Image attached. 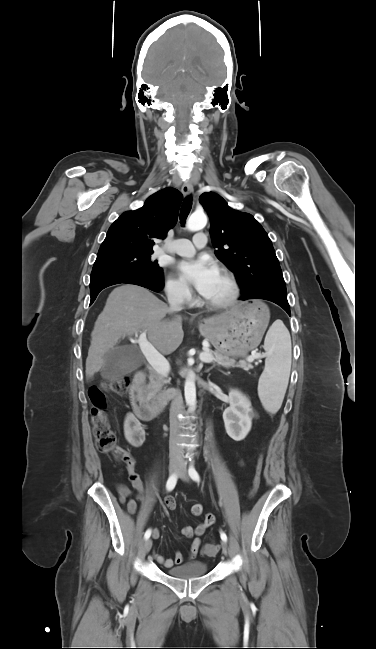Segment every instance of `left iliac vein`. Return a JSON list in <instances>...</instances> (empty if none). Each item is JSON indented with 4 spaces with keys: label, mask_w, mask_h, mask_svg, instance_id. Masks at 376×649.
<instances>
[{
    "label": "left iliac vein",
    "mask_w": 376,
    "mask_h": 649,
    "mask_svg": "<svg viewBox=\"0 0 376 649\" xmlns=\"http://www.w3.org/2000/svg\"><path fill=\"white\" fill-rule=\"evenodd\" d=\"M178 475L183 481H188L189 480L188 475H187L186 465H185L184 462H182L179 465ZM221 548H222V552L225 555H227L228 554V545H227V543L225 541H222Z\"/></svg>",
    "instance_id": "4c4485c4"
}]
</instances>
